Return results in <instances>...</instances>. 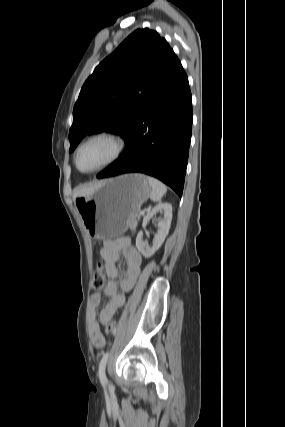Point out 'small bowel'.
<instances>
[{"instance_id":"obj_1","label":"small bowel","mask_w":285,"mask_h":427,"mask_svg":"<svg viewBox=\"0 0 285 427\" xmlns=\"http://www.w3.org/2000/svg\"><path fill=\"white\" fill-rule=\"evenodd\" d=\"M100 255L105 261V272L109 281L104 288L108 302L100 312L99 322L102 325H107L116 311L124 304L123 292L129 291L136 282L140 273L142 258L129 237L105 241L100 249ZM121 255L127 262V269L125 277L118 284L116 281L118 277L117 262ZM100 299V293L91 295L90 305L93 311L99 305ZM99 322L94 320L90 331L91 342L97 348L103 347L105 344V337L100 330Z\"/></svg>"}]
</instances>
